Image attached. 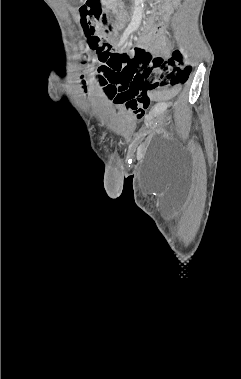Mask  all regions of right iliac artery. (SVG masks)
<instances>
[{
	"instance_id": "obj_1",
	"label": "right iliac artery",
	"mask_w": 241,
	"mask_h": 379,
	"mask_svg": "<svg viewBox=\"0 0 241 379\" xmlns=\"http://www.w3.org/2000/svg\"><path fill=\"white\" fill-rule=\"evenodd\" d=\"M131 31H132L131 28H127V29L125 30V32H124V34H123V36H122V38H121V40H120L119 45L122 44V43L127 39V37L130 35Z\"/></svg>"
}]
</instances>
